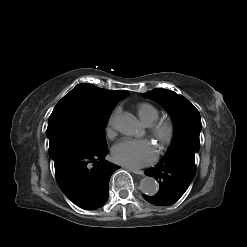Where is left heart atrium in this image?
<instances>
[{"label": "left heart atrium", "instance_id": "39dd6f15", "mask_svg": "<svg viewBox=\"0 0 247 247\" xmlns=\"http://www.w3.org/2000/svg\"><path fill=\"white\" fill-rule=\"evenodd\" d=\"M157 156L155 146L148 140L123 139L112 148V158L118 164L140 168L151 164Z\"/></svg>", "mask_w": 247, "mask_h": 247}]
</instances>
